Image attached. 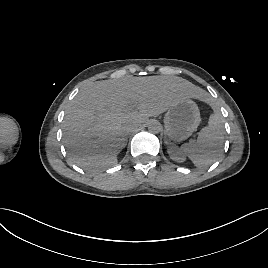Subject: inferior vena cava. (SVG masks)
Here are the masks:
<instances>
[{
  "mask_svg": "<svg viewBox=\"0 0 268 268\" xmlns=\"http://www.w3.org/2000/svg\"><path fill=\"white\" fill-rule=\"evenodd\" d=\"M135 128H136V127H134V126H132V125L127 126V127H126V133H130V132L134 131Z\"/></svg>",
  "mask_w": 268,
  "mask_h": 268,
  "instance_id": "obj_1",
  "label": "inferior vena cava"
}]
</instances>
